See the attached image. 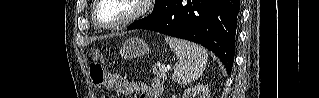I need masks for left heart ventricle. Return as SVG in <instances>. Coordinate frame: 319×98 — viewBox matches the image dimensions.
<instances>
[{
	"instance_id": "1",
	"label": "left heart ventricle",
	"mask_w": 319,
	"mask_h": 98,
	"mask_svg": "<svg viewBox=\"0 0 319 98\" xmlns=\"http://www.w3.org/2000/svg\"><path fill=\"white\" fill-rule=\"evenodd\" d=\"M135 10L132 0H103L97 11L103 24H112L129 16Z\"/></svg>"
}]
</instances>
